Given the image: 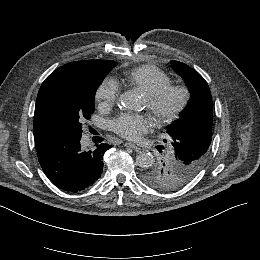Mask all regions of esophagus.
<instances>
[{
  "label": "esophagus",
  "instance_id": "esophagus-1",
  "mask_svg": "<svg viewBox=\"0 0 260 260\" xmlns=\"http://www.w3.org/2000/svg\"><path fill=\"white\" fill-rule=\"evenodd\" d=\"M125 145L131 149H133L136 152H140L141 148L139 146H137L135 143L132 142H126Z\"/></svg>",
  "mask_w": 260,
  "mask_h": 260
}]
</instances>
